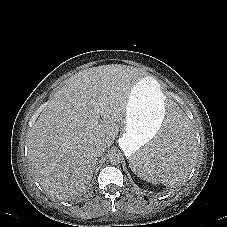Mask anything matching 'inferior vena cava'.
Masks as SVG:
<instances>
[{
	"label": "inferior vena cava",
	"mask_w": 227,
	"mask_h": 227,
	"mask_svg": "<svg viewBox=\"0 0 227 227\" xmlns=\"http://www.w3.org/2000/svg\"><path fill=\"white\" fill-rule=\"evenodd\" d=\"M106 148H107V146L104 143L97 145L94 149L95 156H97V157L102 156L104 154Z\"/></svg>",
	"instance_id": "1"
}]
</instances>
